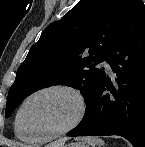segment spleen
<instances>
[{"label": "spleen", "instance_id": "spleen-1", "mask_svg": "<svg viewBox=\"0 0 145 147\" xmlns=\"http://www.w3.org/2000/svg\"><path fill=\"white\" fill-rule=\"evenodd\" d=\"M82 140L87 144L91 145L92 147H102L104 146L103 140L96 138V137H83Z\"/></svg>", "mask_w": 145, "mask_h": 147}]
</instances>
